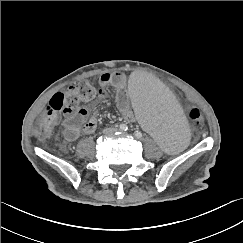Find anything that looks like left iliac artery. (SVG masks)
Segmentation results:
<instances>
[{"instance_id":"44dca946","label":"left iliac artery","mask_w":243,"mask_h":243,"mask_svg":"<svg viewBox=\"0 0 243 243\" xmlns=\"http://www.w3.org/2000/svg\"><path fill=\"white\" fill-rule=\"evenodd\" d=\"M134 135L136 138H140L142 136L141 132L139 131H136Z\"/></svg>"}]
</instances>
